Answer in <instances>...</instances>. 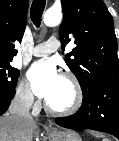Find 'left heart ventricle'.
<instances>
[{"label":"left heart ventricle","instance_id":"b2bd125f","mask_svg":"<svg viewBox=\"0 0 119 141\" xmlns=\"http://www.w3.org/2000/svg\"><path fill=\"white\" fill-rule=\"evenodd\" d=\"M74 98L71 84L64 78H60L59 83L47 102L56 109L68 107Z\"/></svg>","mask_w":119,"mask_h":141}]
</instances>
